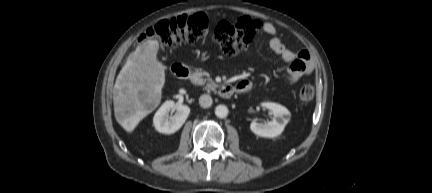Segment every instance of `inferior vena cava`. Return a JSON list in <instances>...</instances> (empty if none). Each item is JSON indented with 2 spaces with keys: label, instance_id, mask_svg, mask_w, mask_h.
<instances>
[{
  "label": "inferior vena cava",
  "instance_id": "1",
  "mask_svg": "<svg viewBox=\"0 0 432 193\" xmlns=\"http://www.w3.org/2000/svg\"><path fill=\"white\" fill-rule=\"evenodd\" d=\"M213 101L210 95L203 94L199 98V104L203 108H209L212 105Z\"/></svg>",
  "mask_w": 432,
  "mask_h": 193
}]
</instances>
